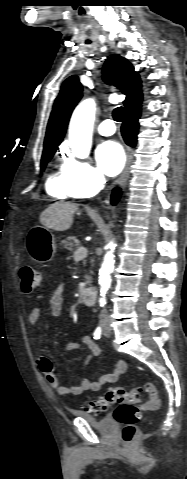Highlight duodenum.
Here are the masks:
<instances>
[{
    "mask_svg": "<svg viewBox=\"0 0 187 479\" xmlns=\"http://www.w3.org/2000/svg\"><path fill=\"white\" fill-rule=\"evenodd\" d=\"M82 301L87 305H92L97 297V290L94 287H86L82 293Z\"/></svg>",
    "mask_w": 187,
    "mask_h": 479,
    "instance_id": "410a0bca",
    "label": "duodenum"
}]
</instances>
